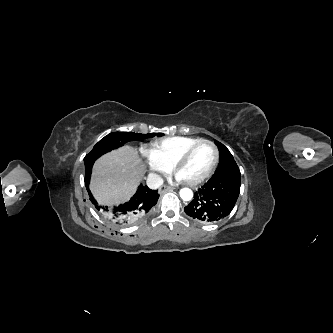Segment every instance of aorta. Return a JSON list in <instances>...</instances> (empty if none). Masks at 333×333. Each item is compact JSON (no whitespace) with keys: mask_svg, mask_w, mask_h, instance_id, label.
<instances>
[{"mask_svg":"<svg viewBox=\"0 0 333 333\" xmlns=\"http://www.w3.org/2000/svg\"><path fill=\"white\" fill-rule=\"evenodd\" d=\"M180 197L184 201H189L193 197V192L189 188H183V189L180 190Z\"/></svg>","mask_w":333,"mask_h":333,"instance_id":"obj_1","label":"aorta"}]
</instances>
